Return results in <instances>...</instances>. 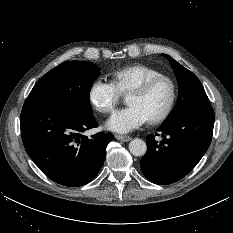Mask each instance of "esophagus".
I'll list each match as a JSON object with an SVG mask.
<instances>
[{
	"mask_svg": "<svg viewBox=\"0 0 233 233\" xmlns=\"http://www.w3.org/2000/svg\"><path fill=\"white\" fill-rule=\"evenodd\" d=\"M115 138H116L117 140H120V141H123V142H128V141L131 140V137H130V136H127V135H118V134H116V135H115Z\"/></svg>",
	"mask_w": 233,
	"mask_h": 233,
	"instance_id": "esophagus-1",
	"label": "esophagus"
}]
</instances>
